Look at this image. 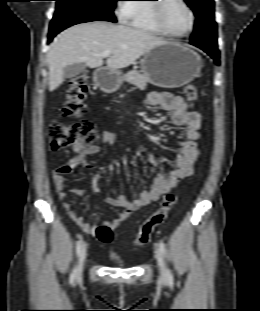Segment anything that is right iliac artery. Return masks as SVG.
<instances>
[{
    "label": "right iliac artery",
    "mask_w": 260,
    "mask_h": 311,
    "mask_svg": "<svg viewBox=\"0 0 260 311\" xmlns=\"http://www.w3.org/2000/svg\"><path fill=\"white\" fill-rule=\"evenodd\" d=\"M82 246H83V241L82 240L78 241V243L76 245V255L77 256L80 254ZM75 277H76V268L74 267V269L70 275V282H73Z\"/></svg>",
    "instance_id": "right-iliac-artery-1"
}]
</instances>
